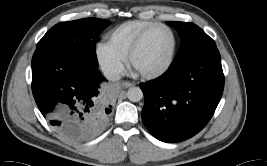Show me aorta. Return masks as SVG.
I'll return each instance as SVG.
<instances>
[{
  "label": "aorta",
  "instance_id": "obj_1",
  "mask_svg": "<svg viewBox=\"0 0 267 166\" xmlns=\"http://www.w3.org/2000/svg\"><path fill=\"white\" fill-rule=\"evenodd\" d=\"M127 97L132 102H139L143 98V92L139 87H131L127 92Z\"/></svg>",
  "mask_w": 267,
  "mask_h": 166
}]
</instances>
